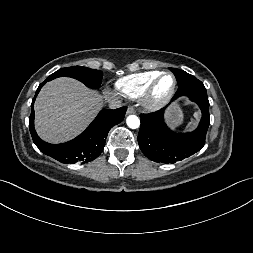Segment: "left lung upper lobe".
<instances>
[{"mask_svg":"<svg viewBox=\"0 0 253 253\" xmlns=\"http://www.w3.org/2000/svg\"><path fill=\"white\" fill-rule=\"evenodd\" d=\"M170 70L174 73L179 86L189 84L191 81L195 79L193 75H190L183 70L174 69V68H170Z\"/></svg>","mask_w":253,"mask_h":253,"instance_id":"1","label":"left lung upper lobe"}]
</instances>
